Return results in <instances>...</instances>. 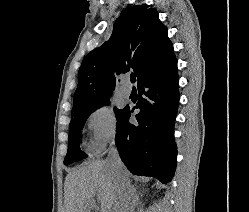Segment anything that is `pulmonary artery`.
<instances>
[{"label":"pulmonary artery","instance_id":"e3ab8cb5","mask_svg":"<svg viewBox=\"0 0 249 212\" xmlns=\"http://www.w3.org/2000/svg\"><path fill=\"white\" fill-rule=\"evenodd\" d=\"M122 83L123 84L120 88V94L123 98H128L132 92L130 76L128 74L122 76Z\"/></svg>","mask_w":249,"mask_h":212}]
</instances>
